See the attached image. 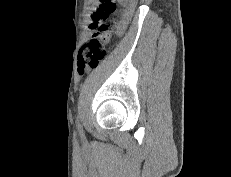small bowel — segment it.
<instances>
[{
  "label": "small bowel",
  "instance_id": "obj_1",
  "mask_svg": "<svg viewBox=\"0 0 231 177\" xmlns=\"http://www.w3.org/2000/svg\"><path fill=\"white\" fill-rule=\"evenodd\" d=\"M87 20L89 21L91 20V15L88 17ZM126 27H127V20H123L122 22L119 23L117 27V33L122 34L125 31Z\"/></svg>",
  "mask_w": 231,
  "mask_h": 177
}]
</instances>
